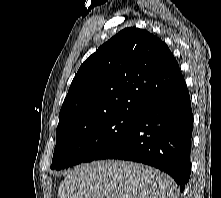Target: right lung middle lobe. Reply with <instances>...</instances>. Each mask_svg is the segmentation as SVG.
<instances>
[{
	"instance_id": "dd1d6c3e",
	"label": "right lung middle lobe",
	"mask_w": 221,
	"mask_h": 198,
	"mask_svg": "<svg viewBox=\"0 0 221 198\" xmlns=\"http://www.w3.org/2000/svg\"><path fill=\"white\" fill-rule=\"evenodd\" d=\"M138 114L118 113L56 137L51 169H64L95 160L135 126Z\"/></svg>"
}]
</instances>
